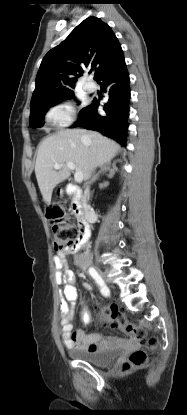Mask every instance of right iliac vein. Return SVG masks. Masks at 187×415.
<instances>
[{
	"label": "right iliac vein",
	"mask_w": 187,
	"mask_h": 415,
	"mask_svg": "<svg viewBox=\"0 0 187 415\" xmlns=\"http://www.w3.org/2000/svg\"><path fill=\"white\" fill-rule=\"evenodd\" d=\"M97 272L99 273V275L101 276V278L103 279V281L106 284H109V279L107 278L106 274L102 272V270L100 268H96Z\"/></svg>",
	"instance_id": "1"
}]
</instances>
